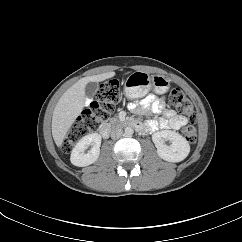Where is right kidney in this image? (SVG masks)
<instances>
[{"mask_svg": "<svg viewBox=\"0 0 242 242\" xmlns=\"http://www.w3.org/2000/svg\"><path fill=\"white\" fill-rule=\"evenodd\" d=\"M92 146L91 150L85 153V150ZM101 136L98 133H92L79 140L71 152L70 161L78 167H85L94 163L100 154Z\"/></svg>", "mask_w": 242, "mask_h": 242, "instance_id": "right-kidney-1", "label": "right kidney"}]
</instances>
